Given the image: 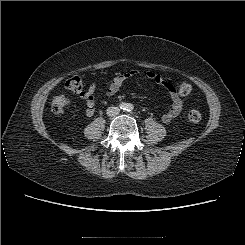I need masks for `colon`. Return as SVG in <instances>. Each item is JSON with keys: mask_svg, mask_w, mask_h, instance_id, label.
Returning a JSON list of instances; mask_svg holds the SVG:
<instances>
[{"mask_svg": "<svg viewBox=\"0 0 245 245\" xmlns=\"http://www.w3.org/2000/svg\"><path fill=\"white\" fill-rule=\"evenodd\" d=\"M65 87L72 92H82L83 90V79L80 75L75 74L67 79L65 82ZM193 87L187 82H182L179 85V93L182 96H188L192 93ZM70 104L69 98L64 94H58L53 97L51 102V110L54 113L63 112ZM188 119L193 123H198L201 121L202 116L198 110H190L188 112Z\"/></svg>", "mask_w": 245, "mask_h": 245, "instance_id": "obj_1", "label": "colon"}]
</instances>
